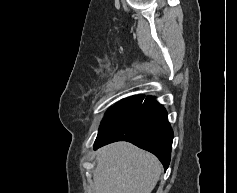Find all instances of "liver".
<instances>
[{
  "label": "liver",
  "instance_id": "liver-1",
  "mask_svg": "<svg viewBox=\"0 0 237 193\" xmlns=\"http://www.w3.org/2000/svg\"><path fill=\"white\" fill-rule=\"evenodd\" d=\"M162 172L159 160L128 142H116L97 152L94 193H151Z\"/></svg>",
  "mask_w": 237,
  "mask_h": 193
}]
</instances>
